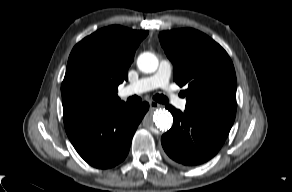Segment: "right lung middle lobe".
<instances>
[{"label":"right lung middle lobe","instance_id":"right-lung-middle-lobe-1","mask_svg":"<svg viewBox=\"0 0 292 192\" xmlns=\"http://www.w3.org/2000/svg\"><path fill=\"white\" fill-rule=\"evenodd\" d=\"M71 99L77 104L87 103L95 94V88L83 78L76 79L69 90Z\"/></svg>","mask_w":292,"mask_h":192}]
</instances>
